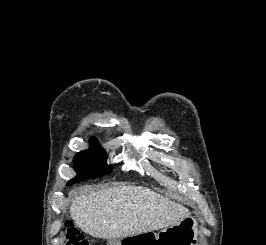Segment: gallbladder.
<instances>
[{
  "label": "gallbladder",
  "instance_id": "obj_1",
  "mask_svg": "<svg viewBox=\"0 0 266 245\" xmlns=\"http://www.w3.org/2000/svg\"><path fill=\"white\" fill-rule=\"evenodd\" d=\"M115 239H108V245H114Z\"/></svg>",
  "mask_w": 266,
  "mask_h": 245
}]
</instances>
